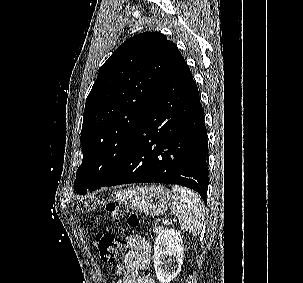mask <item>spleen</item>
Masks as SVG:
<instances>
[{"instance_id":"1","label":"spleen","mask_w":303,"mask_h":283,"mask_svg":"<svg viewBox=\"0 0 303 283\" xmlns=\"http://www.w3.org/2000/svg\"><path fill=\"white\" fill-rule=\"evenodd\" d=\"M171 211L178 217L181 229L199 235L204 222V204L199 194L188 188L173 185Z\"/></svg>"}]
</instances>
